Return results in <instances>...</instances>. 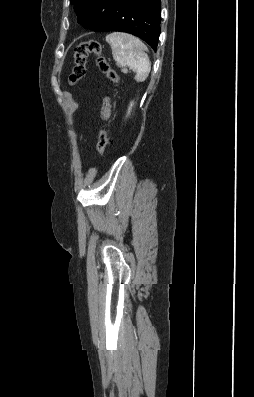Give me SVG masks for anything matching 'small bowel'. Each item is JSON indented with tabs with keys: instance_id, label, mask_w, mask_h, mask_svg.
I'll use <instances>...</instances> for the list:
<instances>
[{
	"instance_id": "c3829d8e",
	"label": "small bowel",
	"mask_w": 254,
	"mask_h": 397,
	"mask_svg": "<svg viewBox=\"0 0 254 397\" xmlns=\"http://www.w3.org/2000/svg\"><path fill=\"white\" fill-rule=\"evenodd\" d=\"M110 113H111L110 99L108 97H105L103 100V105L101 110L102 118L108 119L110 117Z\"/></svg>"
}]
</instances>
